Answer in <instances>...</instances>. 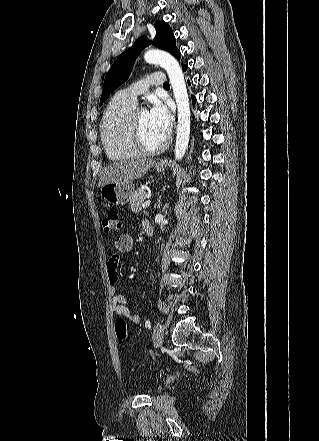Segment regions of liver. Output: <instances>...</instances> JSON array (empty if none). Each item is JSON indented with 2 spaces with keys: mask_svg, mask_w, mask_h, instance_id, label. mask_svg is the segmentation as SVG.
Listing matches in <instances>:
<instances>
[{
  "mask_svg": "<svg viewBox=\"0 0 319 441\" xmlns=\"http://www.w3.org/2000/svg\"><path fill=\"white\" fill-rule=\"evenodd\" d=\"M155 160L150 158L128 159L116 161L104 168L98 183V188L110 182H131L141 178L153 165Z\"/></svg>",
  "mask_w": 319,
  "mask_h": 441,
  "instance_id": "6515ba94",
  "label": "liver"
}]
</instances>
